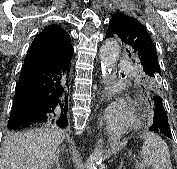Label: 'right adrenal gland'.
I'll return each mask as SVG.
<instances>
[{"label": "right adrenal gland", "instance_id": "1", "mask_svg": "<svg viewBox=\"0 0 177 169\" xmlns=\"http://www.w3.org/2000/svg\"><path fill=\"white\" fill-rule=\"evenodd\" d=\"M59 157H60V150L58 149L57 152H56V159H55V164H54V168L53 169H62L60 167Z\"/></svg>", "mask_w": 177, "mask_h": 169}]
</instances>
